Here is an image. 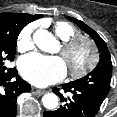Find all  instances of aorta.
Returning <instances> with one entry per match:
<instances>
[{
	"mask_svg": "<svg viewBox=\"0 0 117 117\" xmlns=\"http://www.w3.org/2000/svg\"><path fill=\"white\" fill-rule=\"evenodd\" d=\"M33 40L37 47L45 52H52L57 45L54 36L44 29H38L35 31ZM58 102V97L54 93H47L42 97L43 106L48 110L57 108Z\"/></svg>",
	"mask_w": 117,
	"mask_h": 117,
	"instance_id": "aorta-1",
	"label": "aorta"
}]
</instances>
